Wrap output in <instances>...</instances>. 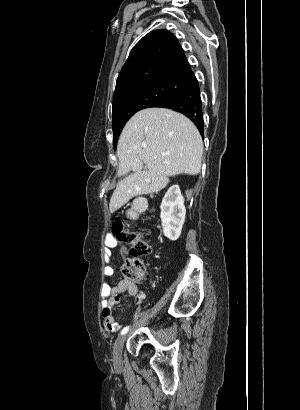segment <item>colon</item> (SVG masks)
I'll use <instances>...</instances> for the list:
<instances>
[{
    "instance_id": "5ec220e1",
    "label": "colon",
    "mask_w": 300,
    "mask_h": 410,
    "mask_svg": "<svg viewBox=\"0 0 300 410\" xmlns=\"http://www.w3.org/2000/svg\"><path fill=\"white\" fill-rule=\"evenodd\" d=\"M115 233L117 238L129 247L130 258L122 266V275L128 280L139 279L145 270L140 257L151 250L144 234L125 230L121 221L115 223Z\"/></svg>"
}]
</instances>
